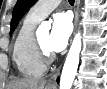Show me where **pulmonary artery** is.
<instances>
[{
	"label": "pulmonary artery",
	"mask_w": 107,
	"mask_h": 89,
	"mask_svg": "<svg viewBox=\"0 0 107 89\" xmlns=\"http://www.w3.org/2000/svg\"><path fill=\"white\" fill-rule=\"evenodd\" d=\"M61 0H40L30 10L29 15L39 21L48 16Z\"/></svg>",
	"instance_id": "pulmonary-artery-1"
}]
</instances>
